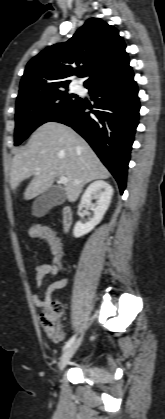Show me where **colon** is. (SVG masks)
<instances>
[{"instance_id":"1","label":"colon","mask_w":165,"mask_h":419,"mask_svg":"<svg viewBox=\"0 0 165 419\" xmlns=\"http://www.w3.org/2000/svg\"><path fill=\"white\" fill-rule=\"evenodd\" d=\"M30 234L34 239H44L50 246L57 265H61L63 255L62 244L59 237L45 227H32ZM63 304L58 300H52L40 314V324L44 332L55 342L64 339L60 318L63 314Z\"/></svg>"}]
</instances>
